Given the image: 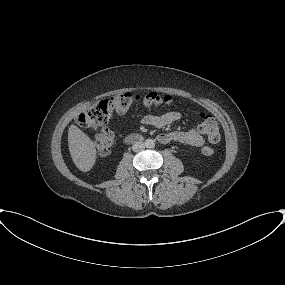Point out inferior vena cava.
I'll return each mask as SVG.
<instances>
[{"label": "inferior vena cava", "mask_w": 285, "mask_h": 285, "mask_svg": "<svg viewBox=\"0 0 285 285\" xmlns=\"http://www.w3.org/2000/svg\"><path fill=\"white\" fill-rule=\"evenodd\" d=\"M132 149L134 152L138 153L145 149V144L142 142H136L133 144Z\"/></svg>", "instance_id": "1"}]
</instances>
